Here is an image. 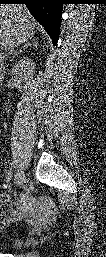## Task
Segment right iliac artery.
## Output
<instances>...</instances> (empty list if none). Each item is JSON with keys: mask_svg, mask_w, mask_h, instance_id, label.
Returning a JSON list of instances; mask_svg holds the SVG:
<instances>
[{"mask_svg": "<svg viewBox=\"0 0 106 257\" xmlns=\"http://www.w3.org/2000/svg\"><path fill=\"white\" fill-rule=\"evenodd\" d=\"M12 179H13V173H12V169L10 168V170L8 171V173H7V180L8 181H12ZM14 183H16V182H14ZM17 184V183H16ZM18 185V184H17Z\"/></svg>", "mask_w": 106, "mask_h": 257, "instance_id": "right-iliac-artery-1", "label": "right iliac artery"}]
</instances>
